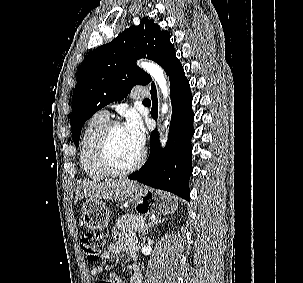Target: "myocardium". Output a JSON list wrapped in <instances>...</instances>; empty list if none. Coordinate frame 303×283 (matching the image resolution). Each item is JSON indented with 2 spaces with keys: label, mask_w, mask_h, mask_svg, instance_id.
<instances>
[{
  "label": "myocardium",
  "mask_w": 303,
  "mask_h": 283,
  "mask_svg": "<svg viewBox=\"0 0 303 283\" xmlns=\"http://www.w3.org/2000/svg\"><path fill=\"white\" fill-rule=\"evenodd\" d=\"M120 126H123L120 121L109 120L98 136L95 146V156L99 167L109 176L115 177L124 176L134 172L142 165L145 158V153L141 150L137 159L130 166L122 168L118 167L113 162L110 152V140L113 131Z\"/></svg>",
  "instance_id": "f54148a6"
}]
</instances>
